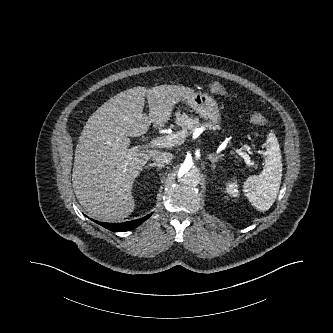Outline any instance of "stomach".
I'll list each match as a JSON object with an SVG mask.
<instances>
[{
    "mask_svg": "<svg viewBox=\"0 0 333 333\" xmlns=\"http://www.w3.org/2000/svg\"><path fill=\"white\" fill-rule=\"evenodd\" d=\"M193 108L207 124H218L221 121L217 102L208 94L194 92L183 100Z\"/></svg>",
    "mask_w": 333,
    "mask_h": 333,
    "instance_id": "obj_1",
    "label": "stomach"
}]
</instances>
